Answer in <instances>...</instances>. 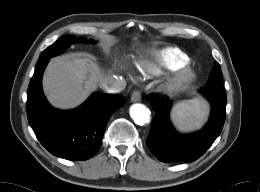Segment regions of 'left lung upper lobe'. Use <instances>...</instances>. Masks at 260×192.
Listing matches in <instances>:
<instances>
[{
	"instance_id": "5c2ea615",
	"label": "left lung upper lobe",
	"mask_w": 260,
	"mask_h": 192,
	"mask_svg": "<svg viewBox=\"0 0 260 192\" xmlns=\"http://www.w3.org/2000/svg\"><path fill=\"white\" fill-rule=\"evenodd\" d=\"M222 72L220 65L216 62L213 71L210 74V80L206 86H222Z\"/></svg>"
}]
</instances>
